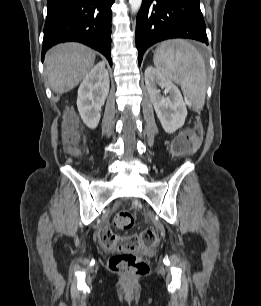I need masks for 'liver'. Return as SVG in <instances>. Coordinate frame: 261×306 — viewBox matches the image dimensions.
Returning a JSON list of instances; mask_svg holds the SVG:
<instances>
[{"instance_id": "liver-1", "label": "liver", "mask_w": 261, "mask_h": 306, "mask_svg": "<svg viewBox=\"0 0 261 306\" xmlns=\"http://www.w3.org/2000/svg\"><path fill=\"white\" fill-rule=\"evenodd\" d=\"M95 62V52L79 43L53 47L46 57V76L51 89L58 94L70 91L86 77Z\"/></svg>"}]
</instances>
